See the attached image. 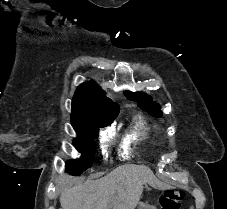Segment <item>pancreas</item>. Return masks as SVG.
<instances>
[{
	"instance_id": "cf45deb5",
	"label": "pancreas",
	"mask_w": 227,
	"mask_h": 209,
	"mask_svg": "<svg viewBox=\"0 0 227 209\" xmlns=\"http://www.w3.org/2000/svg\"><path fill=\"white\" fill-rule=\"evenodd\" d=\"M141 209H147V207L146 206H142Z\"/></svg>"
}]
</instances>
